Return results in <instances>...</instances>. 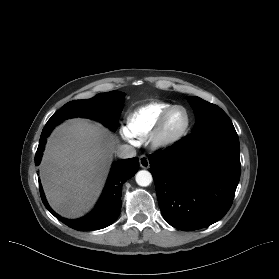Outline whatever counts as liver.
I'll use <instances>...</instances> for the list:
<instances>
[{
    "label": "liver",
    "mask_w": 279,
    "mask_h": 279,
    "mask_svg": "<svg viewBox=\"0 0 279 279\" xmlns=\"http://www.w3.org/2000/svg\"><path fill=\"white\" fill-rule=\"evenodd\" d=\"M116 137L99 123L69 120L48 139L40 176L48 202L76 218L96 202L116 152Z\"/></svg>",
    "instance_id": "6515ba94"
}]
</instances>
